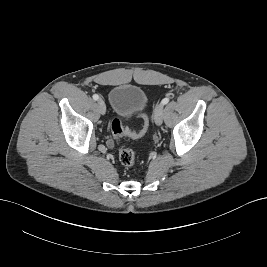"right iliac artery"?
I'll return each mask as SVG.
<instances>
[{
	"label": "right iliac artery",
	"mask_w": 267,
	"mask_h": 267,
	"mask_svg": "<svg viewBox=\"0 0 267 267\" xmlns=\"http://www.w3.org/2000/svg\"><path fill=\"white\" fill-rule=\"evenodd\" d=\"M93 99H94V100H98V99H99V96H98L97 94H94V95H93Z\"/></svg>",
	"instance_id": "1"
}]
</instances>
